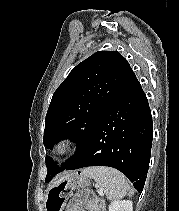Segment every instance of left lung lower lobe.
<instances>
[{
	"instance_id": "1",
	"label": "left lung lower lobe",
	"mask_w": 179,
	"mask_h": 211,
	"mask_svg": "<svg viewBox=\"0 0 179 211\" xmlns=\"http://www.w3.org/2000/svg\"><path fill=\"white\" fill-rule=\"evenodd\" d=\"M152 125L147 97L131 71L100 117L86 148L66 169L113 167L142 192L150 161Z\"/></svg>"
}]
</instances>
